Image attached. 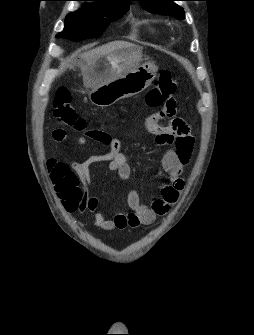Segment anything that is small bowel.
Here are the masks:
<instances>
[{"label":"small bowel","mask_w":254,"mask_h":335,"mask_svg":"<svg viewBox=\"0 0 254 335\" xmlns=\"http://www.w3.org/2000/svg\"><path fill=\"white\" fill-rule=\"evenodd\" d=\"M176 95L170 94L163 108L154 109L146 124V129L156 135L157 141L170 145V148L162 157V169L169 183L165 184L160 195L152 200L149 205L144 204L135 190L127 194V204L130 212L118 213L112 218L105 213L97 211L98 200L88 196L86 187L90 183V167L98 162H108L109 170L122 180H128L131 176V168L126 156L121 151L118 139L107 134L105 140L100 139L94 130H87L80 138V143L87 140L105 142L109 146V152L88 157L82 162L70 161L66 158L59 160L64 170L58 164L48 165L50 176L56 185L57 191L61 192L65 208L69 212L94 213V223L105 230L137 228L141 225H151L158 216L165 215L170 207L177 201L179 194L184 188L185 182L182 178L184 168L189 164L194 141L189 126L180 119H173L175 115ZM156 120H167L166 124L160 125ZM53 138L57 142H65L66 137L62 130H55ZM63 183L65 186H62ZM79 187L83 193L82 199L76 201L72 194Z\"/></svg>","instance_id":"1"}]
</instances>
